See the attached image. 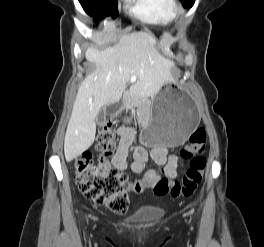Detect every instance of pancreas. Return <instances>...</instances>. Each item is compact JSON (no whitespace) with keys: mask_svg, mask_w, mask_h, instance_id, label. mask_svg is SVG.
I'll use <instances>...</instances> for the list:
<instances>
[{"mask_svg":"<svg viewBox=\"0 0 264 247\" xmlns=\"http://www.w3.org/2000/svg\"><path fill=\"white\" fill-rule=\"evenodd\" d=\"M138 102L136 97H125V105L126 107H132L136 105Z\"/></svg>","mask_w":264,"mask_h":247,"instance_id":"pancreas-1","label":"pancreas"}]
</instances>
